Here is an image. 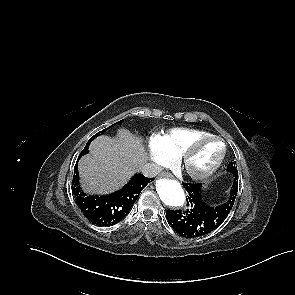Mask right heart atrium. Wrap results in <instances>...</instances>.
Returning a JSON list of instances; mask_svg holds the SVG:
<instances>
[{"label": "right heart atrium", "instance_id": "obj_1", "mask_svg": "<svg viewBox=\"0 0 295 295\" xmlns=\"http://www.w3.org/2000/svg\"><path fill=\"white\" fill-rule=\"evenodd\" d=\"M148 148L150 159L157 169L173 163L174 158L164 150L157 135L149 139Z\"/></svg>", "mask_w": 295, "mask_h": 295}]
</instances>
